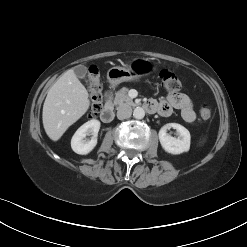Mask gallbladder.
Returning <instances> with one entry per match:
<instances>
[{
    "mask_svg": "<svg viewBox=\"0 0 247 247\" xmlns=\"http://www.w3.org/2000/svg\"><path fill=\"white\" fill-rule=\"evenodd\" d=\"M75 75L80 79H85L87 75V68L83 65H78L74 68Z\"/></svg>",
    "mask_w": 247,
    "mask_h": 247,
    "instance_id": "bac80fb5",
    "label": "gallbladder"
}]
</instances>
